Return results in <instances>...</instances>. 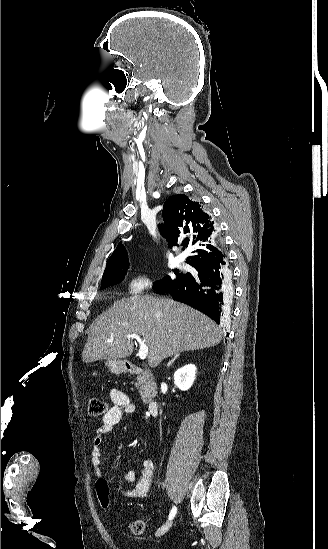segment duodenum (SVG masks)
I'll return each mask as SVG.
<instances>
[{
  "instance_id": "1",
  "label": "duodenum",
  "mask_w": 328,
  "mask_h": 549,
  "mask_svg": "<svg viewBox=\"0 0 328 549\" xmlns=\"http://www.w3.org/2000/svg\"><path fill=\"white\" fill-rule=\"evenodd\" d=\"M126 369L129 373L131 374H136V375H142L144 373L143 369L136 366V365H133V364H128L126 366ZM147 409H148V412L152 415V416H155L157 415L158 413V410H159V404L156 400H151L149 403H148V406H147Z\"/></svg>"
}]
</instances>
